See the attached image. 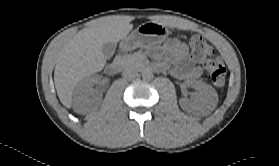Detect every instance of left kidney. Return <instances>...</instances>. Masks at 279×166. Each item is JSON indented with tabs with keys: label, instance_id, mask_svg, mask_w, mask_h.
Segmentation results:
<instances>
[{
	"label": "left kidney",
	"instance_id": "5707ae66",
	"mask_svg": "<svg viewBox=\"0 0 279 166\" xmlns=\"http://www.w3.org/2000/svg\"><path fill=\"white\" fill-rule=\"evenodd\" d=\"M185 84L188 87L196 89L197 92L193 101L189 100L188 98H181L179 100V105L183 110H204L210 104L217 101V93L212 86L196 80H187Z\"/></svg>",
	"mask_w": 279,
	"mask_h": 166
}]
</instances>
